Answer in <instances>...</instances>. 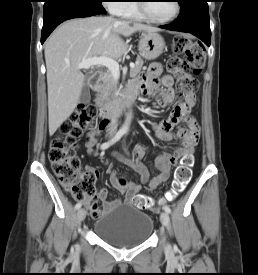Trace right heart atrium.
Instances as JSON below:
<instances>
[{"mask_svg":"<svg viewBox=\"0 0 258 275\" xmlns=\"http://www.w3.org/2000/svg\"><path fill=\"white\" fill-rule=\"evenodd\" d=\"M107 7L115 14H118L120 8L123 6V0H106Z\"/></svg>","mask_w":258,"mask_h":275,"instance_id":"obj_1","label":"right heart atrium"}]
</instances>
